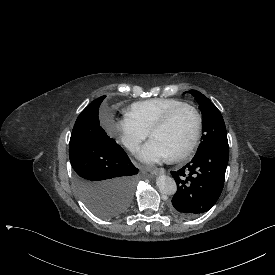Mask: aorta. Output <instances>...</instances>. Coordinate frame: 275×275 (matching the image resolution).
<instances>
[{"label": "aorta", "instance_id": "aorta-1", "mask_svg": "<svg viewBox=\"0 0 275 275\" xmlns=\"http://www.w3.org/2000/svg\"><path fill=\"white\" fill-rule=\"evenodd\" d=\"M155 183L160 192L163 194L171 195L174 194L176 191V183L174 179L170 176L160 174L157 176Z\"/></svg>", "mask_w": 275, "mask_h": 275}]
</instances>
